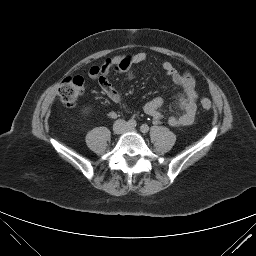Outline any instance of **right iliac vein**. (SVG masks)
Listing matches in <instances>:
<instances>
[{"mask_svg":"<svg viewBox=\"0 0 256 256\" xmlns=\"http://www.w3.org/2000/svg\"><path fill=\"white\" fill-rule=\"evenodd\" d=\"M125 124L123 122H118L114 125L113 130L115 133L120 134L123 132Z\"/></svg>","mask_w":256,"mask_h":256,"instance_id":"obj_1","label":"right iliac vein"}]
</instances>
